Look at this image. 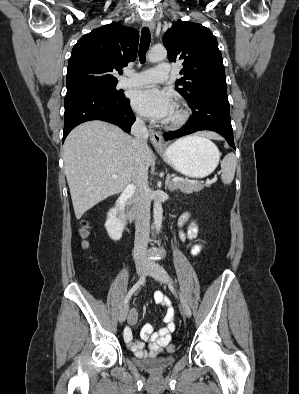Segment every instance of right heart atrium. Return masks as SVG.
<instances>
[{"label": "right heart atrium", "mask_w": 299, "mask_h": 394, "mask_svg": "<svg viewBox=\"0 0 299 394\" xmlns=\"http://www.w3.org/2000/svg\"><path fill=\"white\" fill-rule=\"evenodd\" d=\"M137 119H138L139 121H141V118L138 117Z\"/></svg>", "instance_id": "1"}]
</instances>
